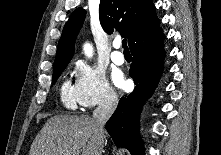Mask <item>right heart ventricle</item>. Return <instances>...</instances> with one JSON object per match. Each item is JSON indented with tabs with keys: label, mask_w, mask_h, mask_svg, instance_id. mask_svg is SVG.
<instances>
[{
	"label": "right heart ventricle",
	"mask_w": 221,
	"mask_h": 155,
	"mask_svg": "<svg viewBox=\"0 0 221 155\" xmlns=\"http://www.w3.org/2000/svg\"><path fill=\"white\" fill-rule=\"evenodd\" d=\"M61 101L63 105L70 109L74 110L77 108L78 100L76 96L75 85H72L70 81H65L61 88Z\"/></svg>",
	"instance_id": "1"
}]
</instances>
